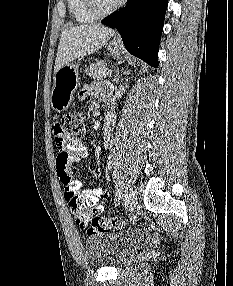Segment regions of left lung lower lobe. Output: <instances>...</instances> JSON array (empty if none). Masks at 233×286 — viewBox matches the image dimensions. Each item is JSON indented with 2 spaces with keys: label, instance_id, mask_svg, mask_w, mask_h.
I'll return each mask as SVG.
<instances>
[{
  "label": "left lung lower lobe",
  "instance_id": "left-lung-lower-lobe-1",
  "mask_svg": "<svg viewBox=\"0 0 233 286\" xmlns=\"http://www.w3.org/2000/svg\"><path fill=\"white\" fill-rule=\"evenodd\" d=\"M168 0H128L101 23L116 28L127 50L158 67V49ZM136 5V10L134 6Z\"/></svg>",
  "mask_w": 233,
  "mask_h": 286
}]
</instances>
